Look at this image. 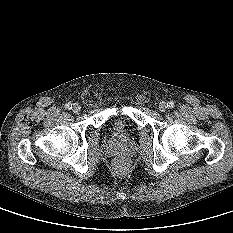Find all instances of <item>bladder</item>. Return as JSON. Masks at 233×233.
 I'll return each mask as SVG.
<instances>
[{
  "label": "bladder",
  "instance_id": "31cf9c89",
  "mask_svg": "<svg viewBox=\"0 0 233 233\" xmlns=\"http://www.w3.org/2000/svg\"><path fill=\"white\" fill-rule=\"evenodd\" d=\"M112 132L118 137H124L126 132L124 130V126L121 121L115 120L112 123Z\"/></svg>",
  "mask_w": 233,
  "mask_h": 233
}]
</instances>
